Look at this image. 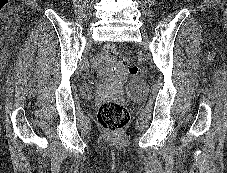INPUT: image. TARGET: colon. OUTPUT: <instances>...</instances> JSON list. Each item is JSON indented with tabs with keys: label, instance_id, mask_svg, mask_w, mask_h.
<instances>
[{
	"label": "colon",
	"instance_id": "obj_1",
	"mask_svg": "<svg viewBox=\"0 0 227 173\" xmlns=\"http://www.w3.org/2000/svg\"><path fill=\"white\" fill-rule=\"evenodd\" d=\"M103 53L106 57L114 60L120 67L125 68L130 76L138 75L139 69L137 65L121 55L113 45H106ZM93 76L95 79H99L98 70L94 71ZM97 119L106 131L118 133L127 125L129 113L121 102L117 100H104L98 107Z\"/></svg>",
	"mask_w": 227,
	"mask_h": 173
}]
</instances>
